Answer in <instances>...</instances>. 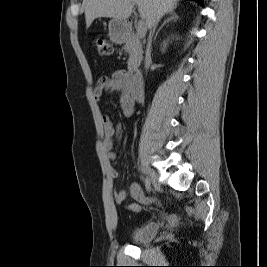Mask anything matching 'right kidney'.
I'll return each mask as SVG.
<instances>
[{
  "instance_id": "obj_1",
  "label": "right kidney",
  "mask_w": 267,
  "mask_h": 267,
  "mask_svg": "<svg viewBox=\"0 0 267 267\" xmlns=\"http://www.w3.org/2000/svg\"><path fill=\"white\" fill-rule=\"evenodd\" d=\"M167 44H168V40L163 42V48H162L163 52L165 51Z\"/></svg>"
}]
</instances>
